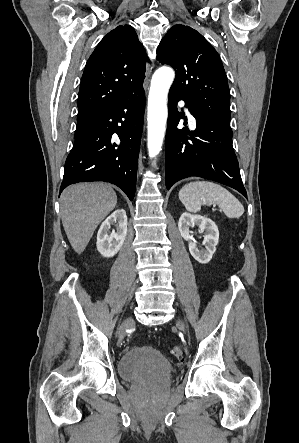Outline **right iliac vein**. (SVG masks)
I'll return each instance as SVG.
<instances>
[{
  "label": "right iliac vein",
  "instance_id": "obj_1",
  "mask_svg": "<svg viewBox=\"0 0 299 443\" xmlns=\"http://www.w3.org/2000/svg\"><path fill=\"white\" fill-rule=\"evenodd\" d=\"M134 324L133 318L126 319L119 328L118 337L120 340L124 339L126 330Z\"/></svg>",
  "mask_w": 299,
  "mask_h": 443
}]
</instances>
